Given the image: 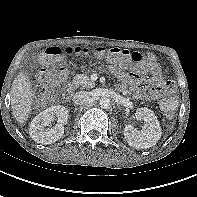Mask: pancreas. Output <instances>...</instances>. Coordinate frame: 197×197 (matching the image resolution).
<instances>
[{"instance_id":"1","label":"pancreas","mask_w":197,"mask_h":197,"mask_svg":"<svg viewBox=\"0 0 197 197\" xmlns=\"http://www.w3.org/2000/svg\"><path fill=\"white\" fill-rule=\"evenodd\" d=\"M95 86V82L92 81L87 75L77 74L74 76L72 82L70 83V87L75 89L81 87L83 89L93 88Z\"/></svg>"}]
</instances>
